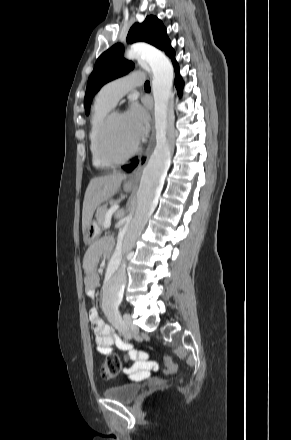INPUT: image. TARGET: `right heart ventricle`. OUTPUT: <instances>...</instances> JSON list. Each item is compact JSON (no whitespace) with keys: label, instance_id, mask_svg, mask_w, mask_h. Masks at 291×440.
<instances>
[{"label":"right heart ventricle","instance_id":"right-heart-ventricle-1","mask_svg":"<svg viewBox=\"0 0 291 440\" xmlns=\"http://www.w3.org/2000/svg\"><path fill=\"white\" fill-rule=\"evenodd\" d=\"M113 106L99 97V94L95 98V102L92 108V114L90 118V130H89V148L92 156L93 165L98 168H109L114 164L106 161L102 158L98 150L97 134L98 129L105 118L110 112Z\"/></svg>","mask_w":291,"mask_h":440}]
</instances>
